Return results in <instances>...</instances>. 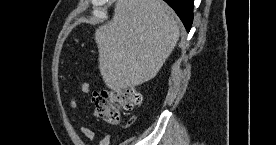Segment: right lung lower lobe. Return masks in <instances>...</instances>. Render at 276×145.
<instances>
[{"label": "right lung lower lobe", "instance_id": "1", "mask_svg": "<svg viewBox=\"0 0 276 145\" xmlns=\"http://www.w3.org/2000/svg\"><path fill=\"white\" fill-rule=\"evenodd\" d=\"M178 14L186 30L189 32L193 21L194 0H164Z\"/></svg>", "mask_w": 276, "mask_h": 145}]
</instances>
